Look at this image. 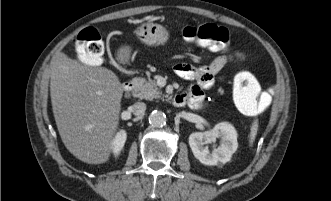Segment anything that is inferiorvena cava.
Segmentation results:
<instances>
[{"label": "inferior vena cava", "instance_id": "602c4592", "mask_svg": "<svg viewBox=\"0 0 331 201\" xmlns=\"http://www.w3.org/2000/svg\"><path fill=\"white\" fill-rule=\"evenodd\" d=\"M146 111V104L143 102H136L131 106V112L136 116L144 115Z\"/></svg>", "mask_w": 331, "mask_h": 201}]
</instances>
